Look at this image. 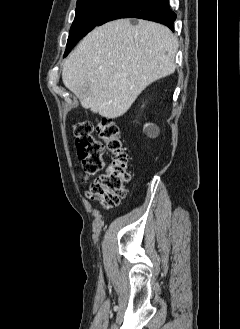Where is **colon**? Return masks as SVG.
I'll return each mask as SVG.
<instances>
[{
	"mask_svg": "<svg viewBox=\"0 0 240 329\" xmlns=\"http://www.w3.org/2000/svg\"><path fill=\"white\" fill-rule=\"evenodd\" d=\"M103 144L92 136V125L77 123L74 127L75 145L81 163L82 176L90 177L103 167L102 151L105 147L112 155L104 173L98 176L89 190V197L98 200L104 208L118 206L126 194V183L130 180L129 156L122 145L119 127L111 117H103L98 125Z\"/></svg>",
	"mask_w": 240,
	"mask_h": 329,
	"instance_id": "colon-1",
	"label": "colon"
}]
</instances>
